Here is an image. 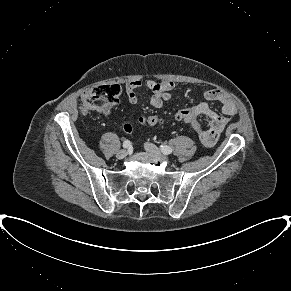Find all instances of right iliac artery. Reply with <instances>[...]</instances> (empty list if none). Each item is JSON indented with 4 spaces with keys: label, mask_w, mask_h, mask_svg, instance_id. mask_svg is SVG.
<instances>
[{
    "label": "right iliac artery",
    "mask_w": 291,
    "mask_h": 291,
    "mask_svg": "<svg viewBox=\"0 0 291 291\" xmlns=\"http://www.w3.org/2000/svg\"><path fill=\"white\" fill-rule=\"evenodd\" d=\"M131 146V142L129 141V140H125L124 142H123V147L124 148H129Z\"/></svg>",
    "instance_id": "1"
}]
</instances>
